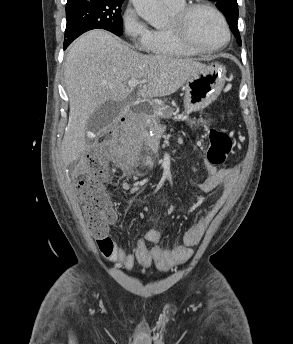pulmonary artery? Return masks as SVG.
<instances>
[{
  "label": "pulmonary artery",
  "mask_w": 293,
  "mask_h": 344,
  "mask_svg": "<svg viewBox=\"0 0 293 344\" xmlns=\"http://www.w3.org/2000/svg\"><path fill=\"white\" fill-rule=\"evenodd\" d=\"M177 1H180V0H162V2L164 4H173V3L177 2Z\"/></svg>",
  "instance_id": "1"
}]
</instances>
